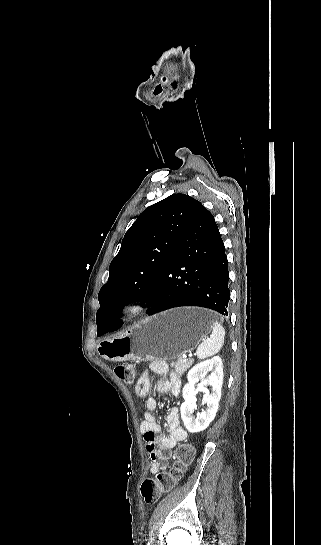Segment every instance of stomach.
<instances>
[{
    "label": "stomach",
    "mask_w": 321,
    "mask_h": 545,
    "mask_svg": "<svg viewBox=\"0 0 321 545\" xmlns=\"http://www.w3.org/2000/svg\"><path fill=\"white\" fill-rule=\"evenodd\" d=\"M213 311L181 307L145 317L120 337L103 341L105 357L111 361L177 359L196 349L212 327Z\"/></svg>",
    "instance_id": "stomach-1"
}]
</instances>
